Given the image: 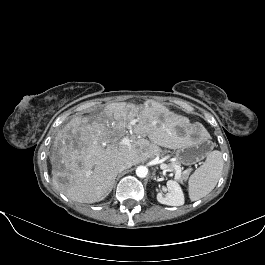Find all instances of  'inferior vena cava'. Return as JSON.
<instances>
[{"label":"inferior vena cava","mask_w":265,"mask_h":265,"mask_svg":"<svg viewBox=\"0 0 265 265\" xmlns=\"http://www.w3.org/2000/svg\"><path fill=\"white\" fill-rule=\"evenodd\" d=\"M132 165L133 163L130 160H124V161L119 162L116 168L118 172H121L125 169L130 168Z\"/></svg>","instance_id":"1"}]
</instances>
